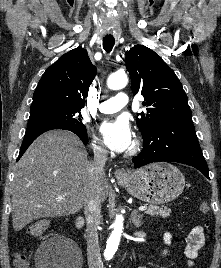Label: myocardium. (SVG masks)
I'll return each instance as SVG.
<instances>
[{"instance_id":"f54148a6","label":"myocardium","mask_w":221,"mask_h":268,"mask_svg":"<svg viewBox=\"0 0 221 268\" xmlns=\"http://www.w3.org/2000/svg\"><path fill=\"white\" fill-rule=\"evenodd\" d=\"M140 148H141V141H140V139L137 138L134 141L132 147L130 148V150L127 152L126 155L127 156H134L139 152Z\"/></svg>"}]
</instances>
